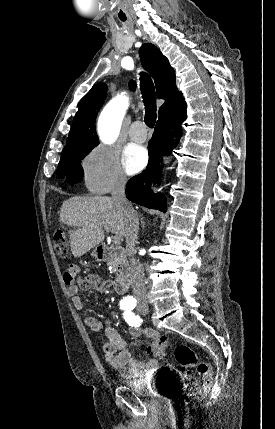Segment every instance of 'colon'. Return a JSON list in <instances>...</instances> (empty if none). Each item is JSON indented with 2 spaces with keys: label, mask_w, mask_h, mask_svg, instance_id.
<instances>
[{
  "label": "colon",
  "mask_w": 275,
  "mask_h": 429,
  "mask_svg": "<svg viewBox=\"0 0 275 429\" xmlns=\"http://www.w3.org/2000/svg\"><path fill=\"white\" fill-rule=\"evenodd\" d=\"M54 248L56 253L65 258L68 256V244L66 238L61 231H56L53 237ZM167 341L163 337L157 346L156 353L161 356H166ZM174 357L181 367V371H176L170 367L167 371L173 377L182 379V388L184 392L181 395V402L184 405H191L198 402L208 391L211 385L212 372L210 366L202 361L197 353L187 345H178L174 350ZM203 381L200 382V378Z\"/></svg>",
  "instance_id": "1"
}]
</instances>
